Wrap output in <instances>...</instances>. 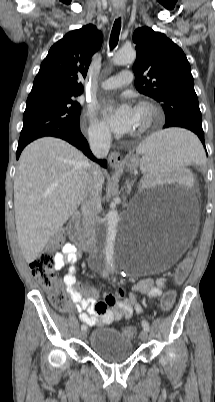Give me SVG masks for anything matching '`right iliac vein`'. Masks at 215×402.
I'll return each instance as SVG.
<instances>
[{
	"instance_id": "obj_1",
	"label": "right iliac vein",
	"mask_w": 215,
	"mask_h": 402,
	"mask_svg": "<svg viewBox=\"0 0 215 402\" xmlns=\"http://www.w3.org/2000/svg\"><path fill=\"white\" fill-rule=\"evenodd\" d=\"M80 336L82 339H85L87 337V330H82Z\"/></svg>"
}]
</instances>
